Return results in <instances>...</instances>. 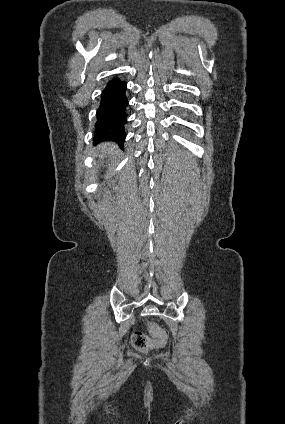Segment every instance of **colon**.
Masks as SVG:
<instances>
[{
  "label": "colon",
  "instance_id": "colon-1",
  "mask_svg": "<svg viewBox=\"0 0 285 424\" xmlns=\"http://www.w3.org/2000/svg\"><path fill=\"white\" fill-rule=\"evenodd\" d=\"M151 337L143 332H135L132 336L133 346L141 352L159 348L164 345L167 340L165 330L155 323L148 324Z\"/></svg>",
  "mask_w": 285,
  "mask_h": 424
}]
</instances>
